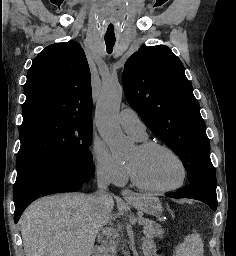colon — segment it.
Listing matches in <instances>:
<instances>
[{
	"instance_id": "5ec220e1",
	"label": "colon",
	"mask_w": 236,
	"mask_h": 256,
	"mask_svg": "<svg viewBox=\"0 0 236 256\" xmlns=\"http://www.w3.org/2000/svg\"><path fill=\"white\" fill-rule=\"evenodd\" d=\"M153 256H163L162 251L159 247L154 248Z\"/></svg>"
}]
</instances>
